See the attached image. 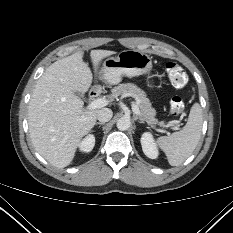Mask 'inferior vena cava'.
I'll return each mask as SVG.
<instances>
[{"instance_id":"obj_1","label":"inferior vena cava","mask_w":233,"mask_h":233,"mask_svg":"<svg viewBox=\"0 0 233 233\" xmlns=\"http://www.w3.org/2000/svg\"><path fill=\"white\" fill-rule=\"evenodd\" d=\"M113 116V112L109 108H102L101 110L98 111L97 114V119L102 122H108Z\"/></svg>"}]
</instances>
